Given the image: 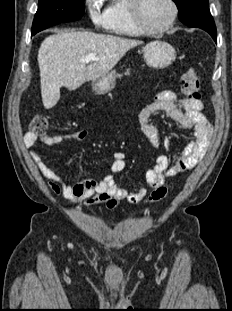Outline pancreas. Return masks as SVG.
Listing matches in <instances>:
<instances>
[{
  "label": "pancreas",
  "instance_id": "1",
  "mask_svg": "<svg viewBox=\"0 0 232 311\" xmlns=\"http://www.w3.org/2000/svg\"><path fill=\"white\" fill-rule=\"evenodd\" d=\"M125 75H130L129 69H127V71L124 73ZM118 78H122L123 74H118L117 75Z\"/></svg>",
  "mask_w": 232,
  "mask_h": 311
}]
</instances>
